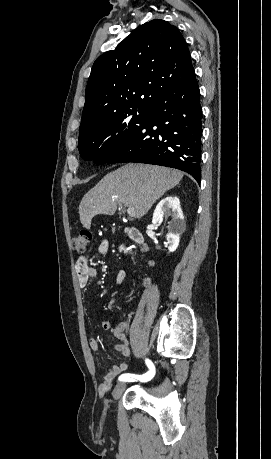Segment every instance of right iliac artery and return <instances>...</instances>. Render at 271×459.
Segmentation results:
<instances>
[{
	"mask_svg": "<svg viewBox=\"0 0 271 459\" xmlns=\"http://www.w3.org/2000/svg\"><path fill=\"white\" fill-rule=\"evenodd\" d=\"M146 364L147 366L149 367V369L147 370V373L148 374H153L154 371L156 370V367H155V363H152L150 360L146 359ZM142 376V375H140ZM139 375H135V374H122L120 377H119V380L120 381H136L140 378Z\"/></svg>",
	"mask_w": 271,
	"mask_h": 459,
	"instance_id": "1",
	"label": "right iliac artery"
}]
</instances>
